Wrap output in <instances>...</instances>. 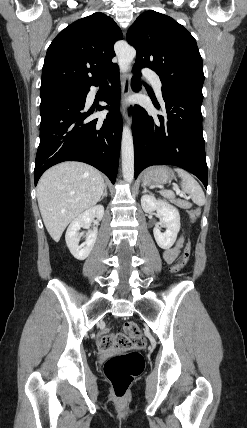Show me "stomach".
I'll use <instances>...</instances> for the list:
<instances>
[{"label": "stomach", "instance_id": "stomach-1", "mask_svg": "<svg viewBox=\"0 0 247 428\" xmlns=\"http://www.w3.org/2000/svg\"><path fill=\"white\" fill-rule=\"evenodd\" d=\"M175 177L174 172L168 166H154L145 171L144 184H164Z\"/></svg>", "mask_w": 247, "mask_h": 428}]
</instances>
